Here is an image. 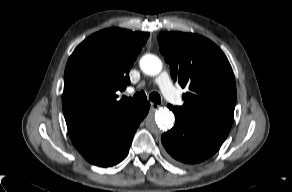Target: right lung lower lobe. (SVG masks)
Returning <instances> with one entry per match:
<instances>
[{
  "instance_id": "right-lung-lower-lobe-1",
  "label": "right lung lower lobe",
  "mask_w": 292,
  "mask_h": 192,
  "mask_svg": "<svg viewBox=\"0 0 292 192\" xmlns=\"http://www.w3.org/2000/svg\"><path fill=\"white\" fill-rule=\"evenodd\" d=\"M149 108L150 103L146 102L105 119L72 120L66 122L68 133L87 161L101 167L112 166L127 156Z\"/></svg>"
}]
</instances>
